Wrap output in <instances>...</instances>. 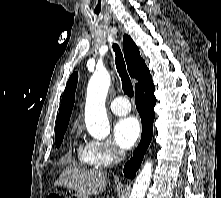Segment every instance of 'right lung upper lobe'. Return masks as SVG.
Segmentation results:
<instances>
[{"label": "right lung upper lobe", "instance_id": "right-lung-upper-lobe-1", "mask_svg": "<svg viewBox=\"0 0 221 198\" xmlns=\"http://www.w3.org/2000/svg\"><path fill=\"white\" fill-rule=\"evenodd\" d=\"M124 56L127 63L128 71L131 77L136 78L138 83L135 85V90L143 86L151 79L150 71L145 65L144 60L140 56L139 49L133 40L127 36H123ZM78 81V73L75 72L69 78L65 91L63 93L59 115L56 121L55 132L68 126V121L72 112L75 101V90Z\"/></svg>", "mask_w": 221, "mask_h": 198}]
</instances>
